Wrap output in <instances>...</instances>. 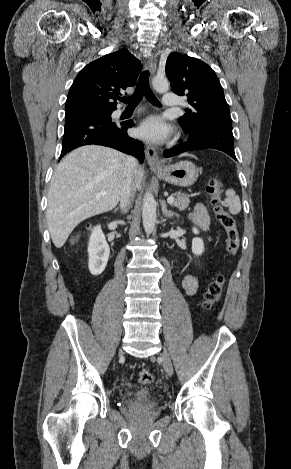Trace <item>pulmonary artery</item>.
Returning <instances> with one entry per match:
<instances>
[{
  "label": "pulmonary artery",
  "instance_id": "e3ab8cb5",
  "mask_svg": "<svg viewBox=\"0 0 291 469\" xmlns=\"http://www.w3.org/2000/svg\"><path fill=\"white\" fill-rule=\"evenodd\" d=\"M162 103L165 107H175L178 105V98L174 93L167 92L163 96Z\"/></svg>",
  "mask_w": 291,
  "mask_h": 469
}]
</instances>
